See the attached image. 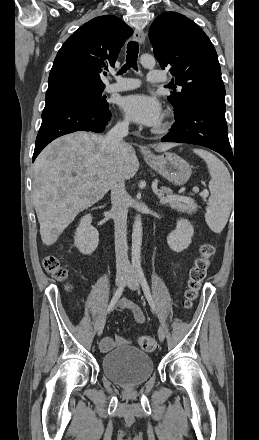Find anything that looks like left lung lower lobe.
Returning a JSON list of instances; mask_svg holds the SVG:
<instances>
[{
  "label": "left lung lower lobe",
  "mask_w": 259,
  "mask_h": 440,
  "mask_svg": "<svg viewBox=\"0 0 259 440\" xmlns=\"http://www.w3.org/2000/svg\"><path fill=\"white\" fill-rule=\"evenodd\" d=\"M174 129L162 142L196 144L210 148L233 167V155L228 139L224 99L215 96H199L190 101L185 111L175 116Z\"/></svg>",
  "instance_id": "0a47b994"
}]
</instances>
